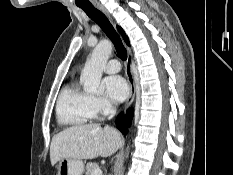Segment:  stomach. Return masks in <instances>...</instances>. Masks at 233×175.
I'll return each mask as SVG.
<instances>
[{
	"label": "stomach",
	"instance_id": "1",
	"mask_svg": "<svg viewBox=\"0 0 233 175\" xmlns=\"http://www.w3.org/2000/svg\"><path fill=\"white\" fill-rule=\"evenodd\" d=\"M57 175H82L84 163L77 159H61L57 164Z\"/></svg>",
	"mask_w": 233,
	"mask_h": 175
}]
</instances>
